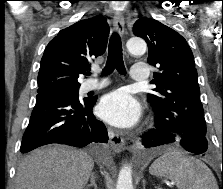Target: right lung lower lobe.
I'll list each match as a JSON object with an SVG mask.
<instances>
[{"instance_id":"98d812e1","label":"right lung lower lobe","mask_w":223,"mask_h":189,"mask_svg":"<svg viewBox=\"0 0 223 189\" xmlns=\"http://www.w3.org/2000/svg\"><path fill=\"white\" fill-rule=\"evenodd\" d=\"M95 102L75 95L38 94L20 151L27 153L51 143L75 147L106 143V127L92 113Z\"/></svg>"}]
</instances>
